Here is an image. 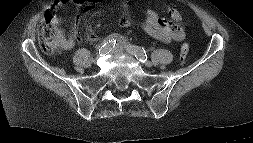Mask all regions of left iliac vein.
Returning <instances> with one entry per match:
<instances>
[{
    "instance_id": "obj_1",
    "label": "left iliac vein",
    "mask_w": 253,
    "mask_h": 143,
    "mask_svg": "<svg viewBox=\"0 0 253 143\" xmlns=\"http://www.w3.org/2000/svg\"><path fill=\"white\" fill-rule=\"evenodd\" d=\"M126 51H127L128 53L132 54V46H127ZM144 64H145L147 67H150V66L152 65V63L149 62V61L144 62Z\"/></svg>"
}]
</instances>
